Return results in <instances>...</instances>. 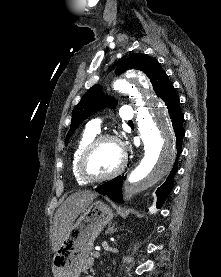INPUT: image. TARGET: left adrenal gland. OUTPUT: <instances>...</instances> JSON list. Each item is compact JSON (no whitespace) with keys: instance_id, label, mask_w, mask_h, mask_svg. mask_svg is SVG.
Segmentation results:
<instances>
[{"instance_id":"left-adrenal-gland-1","label":"left adrenal gland","mask_w":221,"mask_h":277,"mask_svg":"<svg viewBox=\"0 0 221 277\" xmlns=\"http://www.w3.org/2000/svg\"><path fill=\"white\" fill-rule=\"evenodd\" d=\"M114 227H115V224H113V225L108 229V231L110 232V234H112V233H114V232L117 231V229L114 228Z\"/></svg>"}]
</instances>
